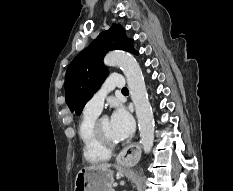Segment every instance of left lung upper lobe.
<instances>
[{"label":"left lung upper lobe","mask_w":233,"mask_h":191,"mask_svg":"<svg viewBox=\"0 0 233 191\" xmlns=\"http://www.w3.org/2000/svg\"><path fill=\"white\" fill-rule=\"evenodd\" d=\"M111 50L139 54L133 48V40L126 37L123 27L113 24L109 30L99 34L68 66L65 77L66 103L77 115H80L84 105L107 76L108 70L103 65V58Z\"/></svg>","instance_id":"left-lung-upper-lobe-1"}]
</instances>
